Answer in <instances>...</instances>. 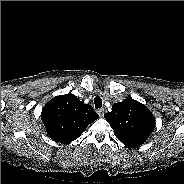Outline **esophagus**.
<instances>
[{
    "mask_svg": "<svg viewBox=\"0 0 184 184\" xmlns=\"http://www.w3.org/2000/svg\"><path fill=\"white\" fill-rule=\"evenodd\" d=\"M97 113L99 114L100 117H102L104 115V109L102 108L97 109Z\"/></svg>",
    "mask_w": 184,
    "mask_h": 184,
    "instance_id": "34e87169",
    "label": "esophagus"
}]
</instances>
